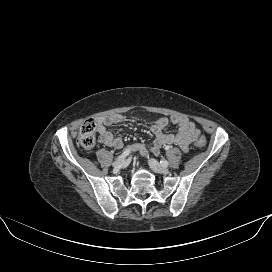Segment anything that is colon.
<instances>
[{
    "instance_id": "5ec220e1",
    "label": "colon",
    "mask_w": 272,
    "mask_h": 272,
    "mask_svg": "<svg viewBox=\"0 0 272 272\" xmlns=\"http://www.w3.org/2000/svg\"><path fill=\"white\" fill-rule=\"evenodd\" d=\"M96 130V122L93 119L85 120L79 129L77 138L78 144L85 149L94 147L96 144ZM195 145L199 148H203L206 145V140L201 137L195 142Z\"/></svg>"
}]
</instances>
